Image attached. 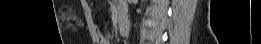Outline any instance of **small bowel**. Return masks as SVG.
Listing matches in <instances>:
<instances>
[{
    "label": "small bowel",
    "mask_w": 261,
    "mask_h": 44,
    "mask_svg": "<svg viewBox=\"0 0 261 44\" xmlns=\"http://www.w3.org/2000/svg\"><path fill=\"white\" fill-rule=\"evenodd\" d=\"M126 4L124 2H120L118 4V11H120L121 9H123L126 12V8H125Z\"/></svg>",
    "instance_id": "c3829d8e"
}]
</instances>
